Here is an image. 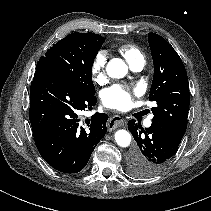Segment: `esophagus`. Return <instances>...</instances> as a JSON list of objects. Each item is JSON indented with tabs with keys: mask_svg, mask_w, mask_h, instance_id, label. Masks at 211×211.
Segmentation results:
<instances>
[{
	"mask_svg": "<svg viewBox=\"0 0 211 211\" xmlns=\"http://www.w3.org/2000/svg\"><path fill=\"white\" fill-rule=\"evenodd\" d=\"M124 125V119L119 115L112 116L107 122V128L109 131L115 130Z\"/></svg>",
	"mask_w": 211,
	"mask_h": 211,
	"instance_id": "34e87169",
	"label": "esophagus"
}]
</instances>
